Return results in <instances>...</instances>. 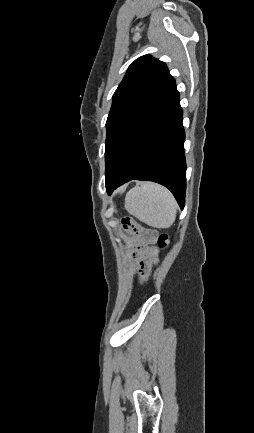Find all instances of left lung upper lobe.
Here are the masks:
<instances>
[{
    "instance_id": "obj_1",
    "label": "left lung upper lobe",
    "mask_w": 254,
    "mask_h": 433,
    "mask_svg": "<svg viewBox=\"0 0 254 433\" xmlns=\"http://www.w3.org/2000/svg\"><path fill=\"white\" fill-rule=\"evenodd\" d=\"M174 85L166 64L150 55L139 57L129 66L113 95L106 122V180L118 168L141 126Z\"/></svg>"
}]
</instances>
